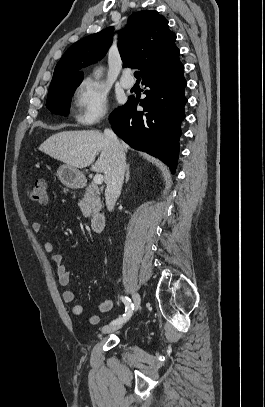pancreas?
I'll list each match as a JSON object with an SVG mask.
<instances>
[{
	"label": "pancreas",
	"instance_id": "obj_1",
	"mask_svg": "<svg viewBox=\"0 0 265 407\" xmlns=\"http://www.w3.org/2000/svg\"><path fill=\"white\" fill-rule=\"evenodd\" d=\"M99 194L98 186L95 183H91L79 202V207L84 216L87 217L93 211L101 209L102 205Z\"/></svg>",
	"mask_w": 265,
	"mask_h": 407
}]
</instances>
